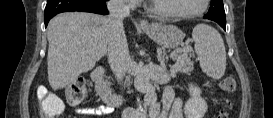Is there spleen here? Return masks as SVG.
Wrapping results in <instances>:
<instances>
[{
    "label": "spleen",
    "instance_id": "1",
    "mask_svg": "<svg viewBox=\"0 0 273 118\" xmlns=\"http://www.w3.org/2000/svg\"><path fill=\"white\" fill-rule=\"evenodd\" d=\"M192 37L202 71L213 79L222 78L226 69V51L219 32L207 24H198Z\"/></svg>",
    "mask_w": 273,
    "mask_h": 118
}]
</instances>
